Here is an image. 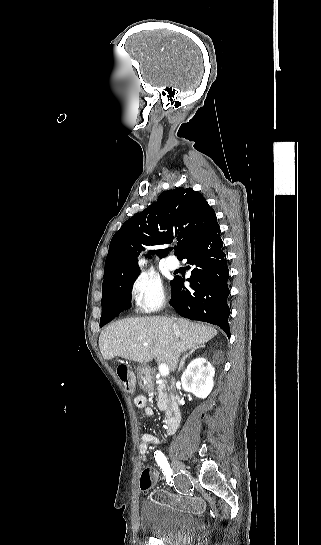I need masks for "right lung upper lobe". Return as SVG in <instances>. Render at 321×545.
Returning <instances> with one entry per match:
<instances>
[{"mask_svg": "<svg viewBox=\"0 0 321 545\" xmlns=\"http://www.w3.org/2000/svg\"><path fill=\"white\" fill-rule=\"evenodd\" d=\"M216 226L215 211L199 192L183 187L162 192L157 202L128 219L114 234L105 262L102 290L115 288L127 276L139 272L137 256L144 247L176 240L175 255L182 259ZM151 252L161 258L168 254V249Z\"/></svg>", "mask_w": 321, "mask_h": 545, "instance_id": "obj_1", "label": "right lung upper lobe"}]
</instances>
